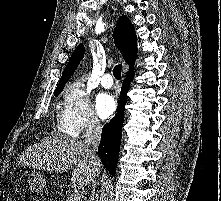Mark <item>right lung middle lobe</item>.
<instances>
[{
    "instance_id": "right-lung-middle-lobe-1",
    "label": "right lung middle lobe",
    "mask_w": 221,
    "mask_h": 201,
    "mask_svg": "<svg viewBox=\"0 0 221 201\" xmlns=\"http://www.w3.org/2000/svg\"><path fill=\"white\" fill-rule=\"evenodd\" d=\"M60 92H61V90H60V91H56V92L54 93V95H55V96H58Z\"/></svg>"
}]
</instances>
